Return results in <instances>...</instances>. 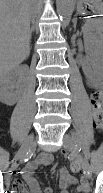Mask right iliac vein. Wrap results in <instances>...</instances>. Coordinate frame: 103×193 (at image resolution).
<instances>
[{
    "instance_id": "obj_1",
    "label": "right iliac vein",
    "mask_w": 103,
    "mask_h": 193,
    "mask_svg": "<svg viewBox=\"0 0 103 193\" xmlns=\"http://www.w3.org/2000/svg\"><path fill=\"white\" fill-rule=\"evenodd\" d=\"M34 145V136H29L22 144L20 150L17 152L14 162L12 164V169H16L20 162L24 159L25 155L28 153L29 149Z\"/></svg>"
}]
</instances>
